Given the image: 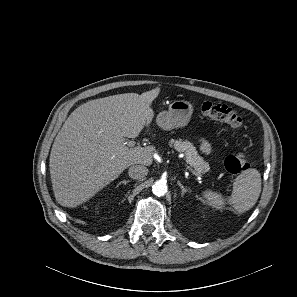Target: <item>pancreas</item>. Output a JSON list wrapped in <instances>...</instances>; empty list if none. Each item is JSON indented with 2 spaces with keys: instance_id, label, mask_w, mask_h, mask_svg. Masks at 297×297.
<instances>
[{
  "instance_id": "1",
  "label": "pancreas",
  "mask_w": 297,
  "mask_h": 297,
  "mask_svg": "<svg viewBox=\"0 0 297 297\" xmlns=\"http://www.w3.org/2000/svg\"><path fill=\"white\" fill-rule=\"evenodd\" d=\"M171 147H173L176 151L185 154L186 163L194 169L197 173H205L210 167L209 164L203 160V157L198 155L196 148L189 141H182L171 139L169 141Z\"/></svg>"
}]
</instances>
